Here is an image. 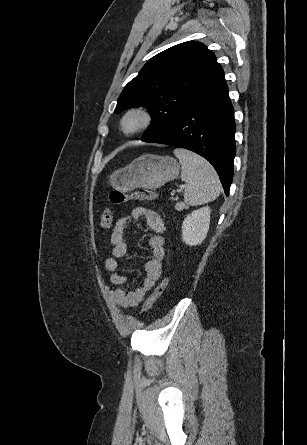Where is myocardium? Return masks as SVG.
<instances>
[{
    "mask_svg": "<svg viewBox=\"0 0 307 445\" xmlns=\"http://www.w3.org/2000/svg\"><path fill=\"white\" fill-rule=\"evenodd\" d=\"M133 112H139L141 114H143L144 116V123L142 124L141 127H139L137 130L131 132V133H127L124 131L123 129V124L125 119ZM157 119V114L155 112V110L147 105V104H136L133 105L131 107H129L123 114L121 121H120V129L121 132L126 135V136H133L136 134H139L141 132H144L146 130H149L150 128H152L156 122Z\"/></svg>",
    "mask_w": 307,
    "mask_h": 445,
    "instance_id": "1",
    "label": "myocardium"
}]
</instances>
